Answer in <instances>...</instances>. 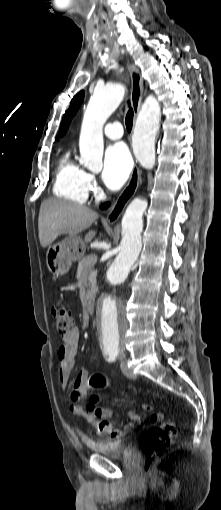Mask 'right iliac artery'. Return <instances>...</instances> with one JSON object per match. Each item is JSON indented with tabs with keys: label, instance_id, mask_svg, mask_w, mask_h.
<instances>
[{
	"label": "right iliac artery",
	"instance_id": "1",
	"mask_svg": "<svg viewBox=\"0 0 221 510\" xmlns=\"http://www.w3.org/2000/svg\"><path fill=\"white\" fill-rule=\"evenodd\" d=\"M108 355V361L112 362L116 359V356H117V352L116 351H109L107 353Z\"/></svg>",
	"mask_w": 221,
	"mask_h": 510
}]
</instances>
